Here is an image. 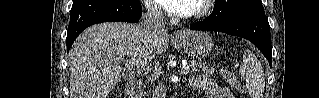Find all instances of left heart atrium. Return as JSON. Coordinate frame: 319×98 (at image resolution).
<instances>
[{
    "label": "left heart atrium",
    "instance_id": "39dd6f15",
    "mask_svg": "<svg viewBox=\"0 0 319 98\" xmlns=\"http://www.w3.org/2000/svg\"><path fill=\"white\" fill-rule=\"evenodd\" d=\"M162 6L170 14H189L193 8V0H160Z\"/></svg>",
    "mask_w": 319,
    "mask_h": 98
}]
</instances>
